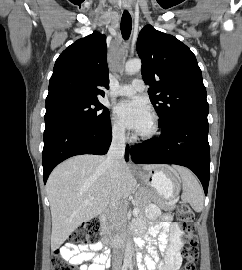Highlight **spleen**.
I'll return each mask as SVG.
<instances>
[{
    "instance_id": "3e777b00",
    "label": "spleen",
    "mask_w": 242,
    "mask_h": 270,
    "mask_svg": "<svg viewBox=\"0 0 242 270\" xmlns=\"http://www.w3.org/2000/svg\"><path fill=\"white\" fill-rule=\"evenodd\" d=\"M182 180V199L188 202L196 212H201L204 205L203 190L196 177L184 167H175Z\"/></svg>"
}]
</instances>
